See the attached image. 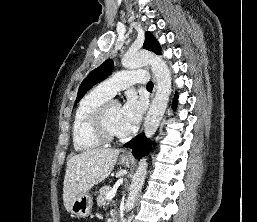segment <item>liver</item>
I'll return each mask as SVG.
<instances>
[{"label":"liver","mask_w":257,"mask_h":222,"mask_svg":"<svg viewBox=\"0 0 257 222\" xmlns=\"http://www.w3.org/2000/svg\"><path fill=\"white\" fill-rule=\"evenodd\" d=\"M118 149H90L67 161L63 182V202L70 212L74 198L106 179L114 168Z\"/></svg>","instance_id":"liver-1"}]
</instances>
